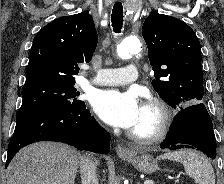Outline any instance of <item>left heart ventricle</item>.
I'll return each mask as SVG.
<instances>
[{"label": "left heart ventricle", "instance_id": "left-heart-ventricle-1", "mask_svg": "<svg viewBox=\"0 0 224 184\" xmlns=\"http://www.w3.org/2000/svg\"><path fill=\"white\" fill-rule=\"evenodd\" d=\"M157 120L158 116L155 111L142 106L140 118L137 124L132 128V131L140 135H150L155 129Z\"/></svg>", "mask_w": 224, "mask_h": 184}]
</instances>
